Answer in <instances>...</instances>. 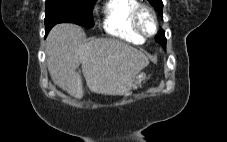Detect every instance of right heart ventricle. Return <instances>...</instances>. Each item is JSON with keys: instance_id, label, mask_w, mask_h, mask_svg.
<instances>
[{"instance_id": "obj_1", "label": "right heart ventricle", "mask_w": 227, "mask_h": 142, "mask_svg": "<svg viewBox=\"0 0 227 142\" xmlns=\"http://www.w3.org/2000/svg\"><path fill=\"white\" fill-rule=\"evenodd\" d=\"M138 0H106L102 7V27L114 37L133 44H141L144 37L134 27L133 13Z\"/></svg>"}]
</instances>
